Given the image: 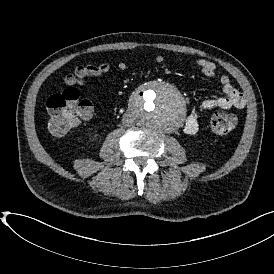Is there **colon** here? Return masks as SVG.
<instances>
[{
  "mask_svg": "<svg viewBox=\"0 0 274 274\" xmlns=\"http://www.w3.org/2000/svg\"><path fill=\"white\" fill-rule=\"evenodd\" d=\"M64 85L66 89L62 93L52 94L47 100V108L52 115L49 130L54 136L65 135L81 121L88 120L93 115L92 103L86 99L79 100L78 87L73 84ZM236 123L237 119L234 114L216 111L211 118L210 126L216 135L226 136L235 129Z\"/></svg>",
  "mask_w": 274,
  "mask_h": 274,
  "instance_id": "colon-1",
  "label": "colon"
}]
</instances>
